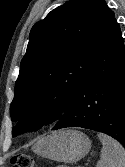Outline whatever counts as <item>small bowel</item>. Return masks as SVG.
<instances>
[{"label": "small bowel", "mask_w": 125, "mask_h": 167, "mask_svg": "<svg viewBox=\"0 0 125 167\" xmlns=\"http://www.w3.org/2000/svg\"><path fill=\"white\" fill-rule=\"evenodd\" d=\"M58 167H68V166H58Z\"/></svg>", "instance_id": "obj_1"}]
</instances>
